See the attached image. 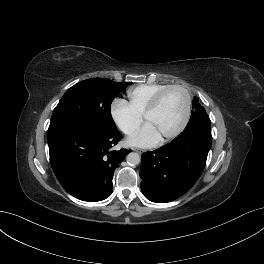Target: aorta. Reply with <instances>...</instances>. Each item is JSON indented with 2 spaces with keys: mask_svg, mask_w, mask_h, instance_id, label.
<instances>
[{
  "mask_svg": "<svg viewBox=\"0 0 264 264\" xmlns=\"http://www.w3.org/2000/svg\"><path fill=\"white\" fill-rule=\"evenodd\" d=\"M127 162L131 165H137L140 163V155L135 152H131L127 155Z\"/></svg>",
  "mask_w": 264,
  "mask_h": 264,
  "instance_id": "1",
  "label": "aorta"
}]
</instances>
